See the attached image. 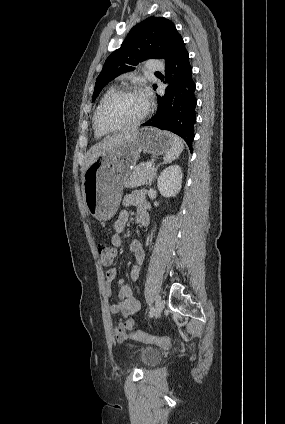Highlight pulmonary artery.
I'll list each match as a JSON object with an SVG mask.
<instances>
[{
  "instance_id": "obj_1",
  "label": "pulmonary artery",
  "mask_w": 285,
  "mask_h": 424,
  "mask_svg": "<svg viewBox=\"0 0 285 424\" xmlns=\"http://www.w3.org/2000/svg\"><path fill=\"white\" fill-rule=\"evenodd\" d=\"M147 69L149 71L160 72L164 70V65L157 60H149L147 61Z\"/></svg>"
}]
</instances>
